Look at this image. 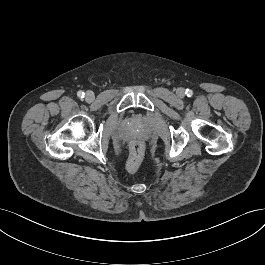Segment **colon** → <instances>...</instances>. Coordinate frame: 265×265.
<instances>
[{"instance_id":"5ec220e1","label":"colon","mask_w":265,"mask_h":265,"mask_svg":"<svg viewBox=\"0 0 265 265\" xmlns=\"http://www.w3.org/2000/svg\"><path fill=\"white\" fill-rule=\"evenodd\" d=\"M144 149L140 141H134L130 147L129 157L126 163V168L129 172H136L143 160Z\"/></svg>"}]
</instances>
